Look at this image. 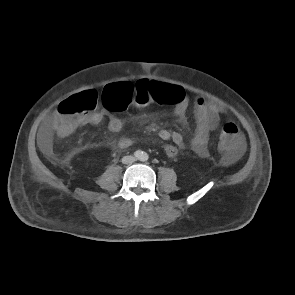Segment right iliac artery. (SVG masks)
Listing matches in <instances>:
<instances>
[{
    "label": "right iliac artery",
    "mask_w": 295,
    "mask_h": 295,
    "mask_svg": "<svg viewBox=\"0 0 295 295\" xmlns=\"http://www.w3.org/2000/svg\"><path fill=\"white\" fill-rule=\"evenodd\" d=\"M135 157L140 158L141 157V152L140 151L135 152Z\"/></svg>",
    "instance_id": "82829eb1"
}]
</instances>
